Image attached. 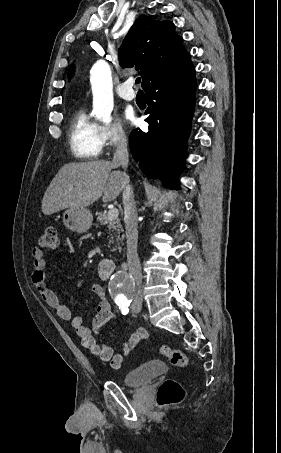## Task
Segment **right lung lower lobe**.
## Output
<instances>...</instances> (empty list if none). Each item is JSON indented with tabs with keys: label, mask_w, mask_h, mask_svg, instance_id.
I'll return each instance as SVG.
<instances>
[{
	"label": "right lung lower lobe",
	"mask_w": 281,
	"mask_h": 453,
	"mask_svg": "<svg viewBox=\"0 0 281 453\" xmlns=\"http://www.w3.org/2000/svg\"><path fill=\"white\" fill-rule=\"evenodd\" d=\"M197 88L195 69L186 51L143 85L149 131H132L129 137L133 158L150 178L178 189L176 176L184 168Z\"/></svg>",
	"instance_id": "1"
}]
</instances>
